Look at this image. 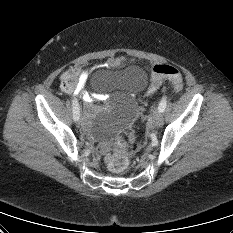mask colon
Returning <instances> with one entry per match:
<instances>
[{
	"label": "colon",
	"mask_w": 233,
	"mask_h": 233,
	"mask_svg": "<svg viewBox=\"0 0 233 233\" xmlns=\"http://www.w3.org/2000/svg\"><path fill=\"white\" fill-rule=\"evenodd\" d=\"M164 79H169L175 92H180L183 88V79L179 70L167 64H159L154 67L151 82L147 94L151 95L157 91ZM77 85V74L73 70L65 72L62 76V87L65 91H71ZM116 145L119 151L113 153L107 162L108 169L113 173L124 172L129 165V160L124 150L127 148V141L118 138Z\"/></svg>",
	"instance_id": "5ec220e1"
}]
</instances>
